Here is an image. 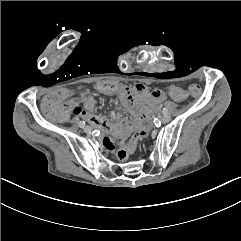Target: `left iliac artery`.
Here are the masks:
<instances>
[{"mask_svg":"<svg viewBox=\"0 0 241 241\" xmlns=\"http://www.w3.org/2000/svg\"><path fill=\"white\" fill-rule=\"evenodd\" d=\"M162 112L164 115H166L168 113V110L166 108H163Z\"/></svg>","mask_w":241,"mask_h":241,"instance_id":"obj_1","label":"left iliac artery"}]
</instances>
